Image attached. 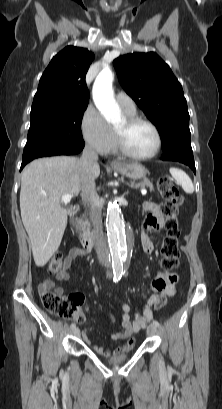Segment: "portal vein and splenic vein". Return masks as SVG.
<instances>
[{
  "mask_svg": "<svg viewBox=\"0 0 222 409\" xmlns=\"http://www.w3.org/2000/svg\"><path fill=\"white\" fill-rule=\"evenodd\" d=\"M141 193H142V195H146V190H142ZM72 197H73V195H71V194L63 195L62 198H61V202L64 203V204H67V203L70 202Z\"/></svg>",
  "mask_w": 222,
  "mask_h": 409,
  "instance_id": "1",
  "label": "portal vein and splenic vein"
}]
</instances>
